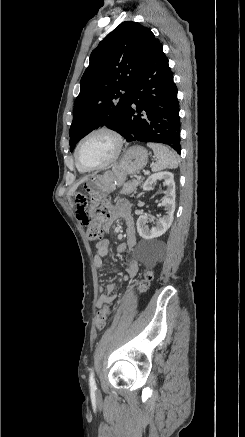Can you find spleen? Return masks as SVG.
<instances>
[{
  "mask_svg": "<svg viewBox=\"0 0 245 437\" xmlns=\"http://www.w3.org/2000/svg\"><path fill=\"white\" fill-rule=\"evenodd\" d=\"M147 146L151 148L156 157L155 164L152 165V171L158 172L164 169H175L178 167V157L167 146L157 143H148Z\"/></svg>",
  "mask_w": 245,
  "mask_h": 437,
  "instance_id": "3e777b00",
  "label": "spleen"
}]
</instances>
